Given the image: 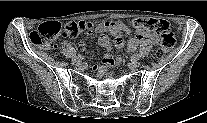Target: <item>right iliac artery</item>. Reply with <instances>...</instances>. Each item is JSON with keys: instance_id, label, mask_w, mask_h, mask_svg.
Listing matches in <instances>:
<instances>
[{"instance_id": "right-iliac-artery-1", "label": "right iliac artery", "mask_w": 207, "mask_h": 123, "mask_svg": "<svg viewBox=\"0 0 207 123\" xmlns=\"http://www.w3.org/2000/svg\"><path fill=\"white\" fill-rule=\"evenodd\" d=\"M83 58H84V56H82V55H78L77 57H74V58L72 59V62L75 63L77 60H81V59H83Z\"/></svg>"}]
</instances>
